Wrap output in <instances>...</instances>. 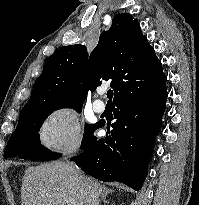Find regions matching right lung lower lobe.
Here are the masks:
<instances>
[{"instance_id": "obj_1", "label": "right lung lower lobe", "mask_w": 199, "mask_h": 205, "mask_svg": "<svg viewBox=\"0 0 199 205\" xmlns=\"http://www.w3.org/2000/svg\"><path fill=\"white\" fill-rule=\"evenodd\" d=\"M167 100L166 76L163 70L133 81L113 100V130L104 139L93 133L71 158L90 176L101 181H118L140 190L148 171L154 140L161 127ZM103 127L97 123L96 129ZM94 130V131H95Z\"/></svg>"}]
</instances>
